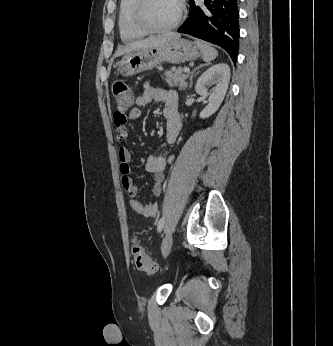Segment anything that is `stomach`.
Segmentation results:
<instances>
[{
    "mask_svg": "<svg viewBox=\"0 0 333 346\" xmlns=\"http://www.w3.org/2000/svg\"><path fill=\"white\" fill-rule=\"evenodd\" d=\"M201 51L196 43L177 39L164 45L149 47L126 53L118 62V72L125 77L151 70L163 62L172 64L195 60Z\"/></svg>",
    "mask_w": 333,
    "mask_h": 346,
    "instance_id": "0dacf381",
    "label": "stomach"
}]
</instances>
